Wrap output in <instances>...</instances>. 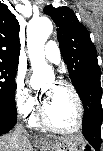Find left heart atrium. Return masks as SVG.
<instances>
[{"label":"left heart atrium","mask_w":103,"mask_h":151,"mask_svg":"<svg viewBox=\"0 0 103 151\" xmlns=\"http://www.w3.org/2000/svg\"><path fill=\"white\" fill-rule=\"evenodd\" d=\"M42 98H43V100L45 101V100H46V95H43V97H42Z\"/></svg>","instance_id":"left-heart-atrium-1"}]
</instances>
